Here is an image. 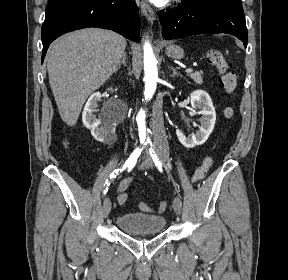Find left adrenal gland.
Masks as SVG:
<instances>
[{"mask_svg":"<svg viewBox=\"0 0 288 280\" xmlns=\"http://www.w3.org/2000/svg\"><path fill=\"white\" fill-rule=\"evenodd\" d=\"M171 70L173 71L171 77H175V76H181L179 72L176 71V69L174 67H170Z\"/></svg>","mask_w":288,"mask_h":280,"instance_id":"left-adrenal-gland-1","label":"left adrenal gland"}]
</instances>
